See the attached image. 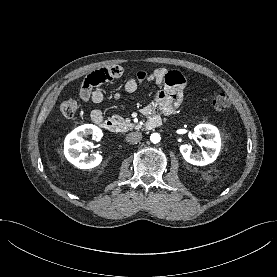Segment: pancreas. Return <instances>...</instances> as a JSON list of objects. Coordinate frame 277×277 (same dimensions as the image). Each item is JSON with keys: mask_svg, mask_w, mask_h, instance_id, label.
I'll use <instances>...</instances> for the list:
<instances>
[{"mask_svg": "<svg viewBox=\"0 0 277 277\" xmlns=\"http://www.w3.org/2000/svg\"><path fill=\"white\" fill-rule=\"evenodd\" d=\"M112 120L117 124V126H118V128L121 132H127L129 130L134 129V128H139V125L129 123L119 115H113Z\"/></svg>", "mask_w": 277, "mask_h": 277, "instance_id": "cf45deb5", "label": "pancreas"}]
</instances>
